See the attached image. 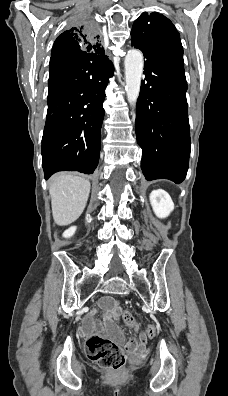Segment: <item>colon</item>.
Wrapping results in <instances>:
<instances>
[{"label": "colon", "instance_id": "obj_1", "mask_svg": "<svg viewBox=\"0 0 228 396\" xmlns=\"http://www.w3.org/2000/svg\"><path fill=\"white\" fill-rule=\"evenodd\" d=\"M122 316L128 326L137 327V322L130 312L124 311ZM144 334L149 338L154 337L156 327L147 325ZM86 348L89 358L102 368L117 372L125 365V355L122 349L110 338L95 334L87 340Z\"/></svg>", "mask_w": 228, "mask_h": 396}]
</instances>
